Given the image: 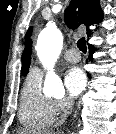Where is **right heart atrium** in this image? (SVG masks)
<instances>
[{
  "instance_id": "1",
  "label": "right heart atrium",
  "mask_w": 116,
  "mask_h": 134,
  "mask_svg": "<svg viewBox=\"0 0 116 134\" xmlns=\"http://www.w3.org/2000/svg\"><path fill=\"white\" fill-rule=\"evenodd\" d=\"M70 107L71 101L67 98L53 100V109L55 114H64L69 111Z\"/></svg>"
}]
</instances>
